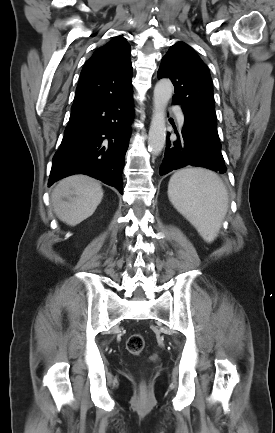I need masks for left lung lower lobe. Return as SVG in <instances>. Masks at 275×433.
I'll return each mask as SVG.
<instances>
[{
	"label": "left lung lower lobe",
	"instance_id": "obj_1",
	"mask_svg": "<svg viewBox=\"0 0 275 433\" xmlns=\"http://www.w3.org/2000/svg\"><path fill=\"white\" fill-rule=\"evenodd\" d=\"M174 132L177 139L172 143L167 139L165 158L160 167L161 176L187 165L226 172L225 164L218 160L211 145L201 135L191 129H182L181 132L175 129Z\"/></svg>",
	"mask_w": 275,
	"mask_h": 433
}]
</instances>
